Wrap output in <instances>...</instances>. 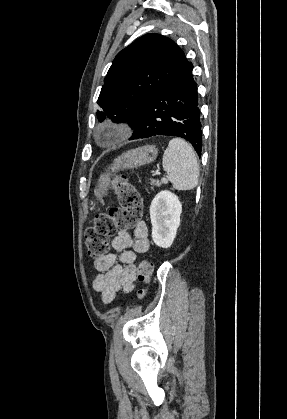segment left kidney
Wrapping results in <instances>:
<instances>
[{
    "label": "left kidney",
    "instance_id": "5707ae66",
    "mask_svg": "<svg viewBox=\"0 0 287 419\" xmlns=\"http://www.w3.org/2000/svg\"><path fill=\"white\" fill-rule=\"evenodd\" d=\"M182 204L178 197L168 190L159 192L151 202L150 218L152 239L162 248H169L180 226Z\"/></svg>",
    "mask_w": 287,
    "mask_h": 419
}]
</instances>
